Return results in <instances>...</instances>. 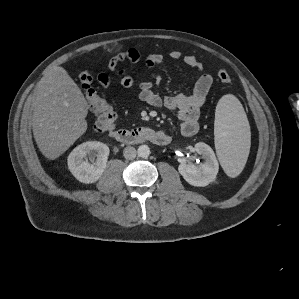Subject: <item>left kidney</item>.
Here are the masks:
<instances>
[{"instance_id":"5707ae66","label":"left kidney","mask_w":299,"mask_h":299,"mask_svg":"<svg viewBox=\"0 0 299 299\" xmlns=\"http://www.w3.org/2000/svg\"><path fill=\"white\" fill-rule=\"evenodd\" d=\"M194 151L203 155L205 162L197 165L181 163L178 170L190 185L204 187L215 180L219 164L214 151L209 145L203 142L196 143Z\"/></svg>"}]
</instances>
